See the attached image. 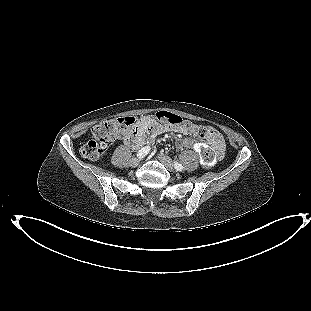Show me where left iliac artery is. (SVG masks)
<instances>
[{
  "instance_id": "obj_1",
  "label": "left iliac artery",
  "mask_w": 311,
  "mask_h": 311,
  "mask_svg": "<svg viewBox=\"0 0 311 311\" xmlns=\"http://www.w3.org/2000/svg\"><path fill=\"white\" fill-rule=\"evenodd\" d=\"M174 167H175V169L177 171H182L183 170V166L180 163H178V162L174 163Z\"/></svg>"
}]
</instances>
